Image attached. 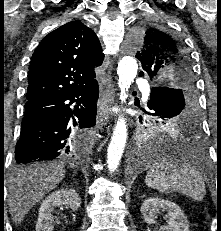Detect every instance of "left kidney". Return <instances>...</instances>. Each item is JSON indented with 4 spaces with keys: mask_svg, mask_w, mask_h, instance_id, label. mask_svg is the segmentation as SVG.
I'll return each instance as SVG.
<instances>
[{
    "mask_svg": "<svg viewBox=\"0 0 221 231\" xmlns=\"http://www.w3.org/2000/svg\"><path fill=\"white\" fill-rule=\"evenodd\" d=\"M160 210L167 211L168 221L167 225L159 228V231H189V223L183 211L174 202L157 197L148 198L140 208L143 220L147 224L155 223Z\"/></svg>",
    "mask_w": 221,
    "mask_h": 231,
    "instance_id": "5707ae66",
    "label": "left kidney"
}]
</instances>
